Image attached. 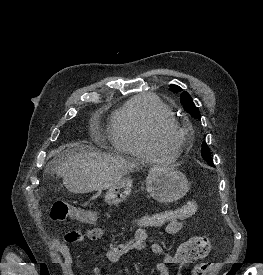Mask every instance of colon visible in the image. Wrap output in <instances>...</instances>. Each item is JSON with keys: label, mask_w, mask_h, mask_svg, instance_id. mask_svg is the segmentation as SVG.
<instances>
[{"label": "colon", "mask_w": 263, "mask_h": 275, "mask_svg": "<svg viewBox=\"0 0 263 275\" xmlns=\"http://www.w3.org/2000/svg\"><path fill=\"white\" fill-rule=\"evenodd\" d=\"M198 208L195 200H189L182 206L147 215L139 220L143 226H162L171 221H180L192 217ZM50 216L55 221H63L71 218L81 223H92L98 220V212L91 209H82L64 202L53 205ZM211 250V243L207 237L196 236L183 242L177 249L174 260L175 264L183 267L205 258ZM211 267L210 262L200 263L192 270V275H207Z\"/></svg>", "instance_id": "obj_1"}]
</instances>
